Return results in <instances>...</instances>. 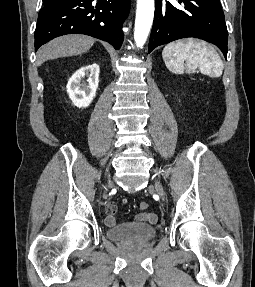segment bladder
I'll return each instance as SVG.
<instances>
[{
  "mask_svg": "<svg viewBox=\"0 0 255 287\" xmlns=\"http://www.w3.org/2000/svg\"><path fill=\"white\" fill-rule=\"evenodd\" d=\"M106 235L117 242H146L156 237L157 229L147 223L130 222L107 228Z\"/></svg>",
  "mask_w": 255,
  "mask_h": 287,
  "instance_id": "bladder-1",
  "label": "bladder"
}]
</instances>
